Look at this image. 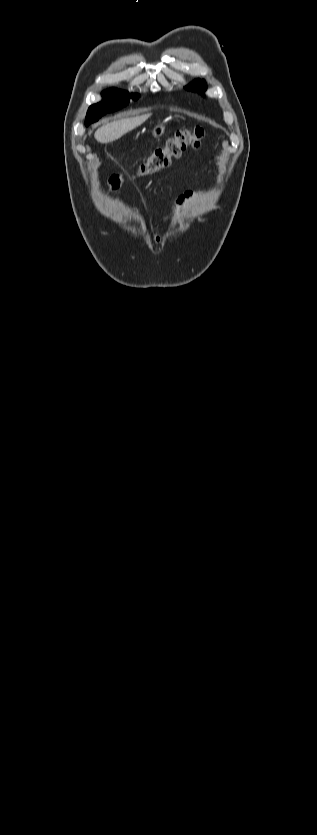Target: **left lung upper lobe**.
Here are the masks:
<instances>
[{
    "mask_svg": "<svg viewBox=\"0 0 317 835\" xmlns=\"http://www.w3.org/2000/svg\"><path fill=\"white\" fill-rule=\"evenodd\" d=\"M188 90L197 91L203 94V90L206 89V82L205 80H194L190 85L186 87ZM204 95V94H203Z\"/></svg>",
    "mask_w": 317,
    "mask_h": 835,
    "instance_id": "obj_1",
    "label": "left lung upper lobe"
}]
</instances>
